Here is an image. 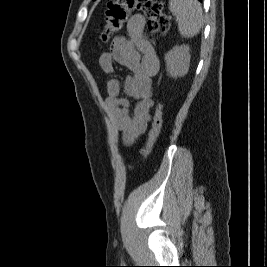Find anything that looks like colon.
I'll return each mask as SVG.
<instances>
[{"label":"colon","instance_id":"colon-1","mask_svg":"<svg viewBox=\"0 0 267 267\" xmlns=\"http://www.w3.org/2000/svg\"><path fill=\"white\" fill-rule=\"evenodd\" d=\"M134 10L142 12L147 18L148 31L151 34L165 33L170 26L168 16L163 12V5L156 0H110L105 12L104 28L101 34L106 41L120 32L130 13ZM163 124L162 107L157 105L152 119V126L148 133L145 145L140 153L146 160L154 147Z\"/></svg>","mask_w":267,"mask_h":267}]
</instances>
